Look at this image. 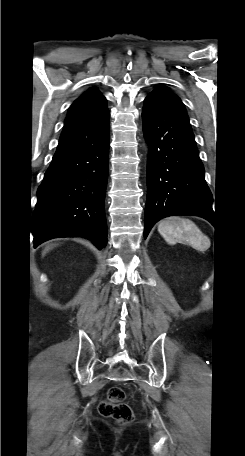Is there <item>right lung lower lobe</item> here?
I'll list each match as a JSON object with an SVG mask.
<instances>
[{"label":"right lung lower lobe","mask_w":245,"mask_h":456,"mask_svg":"<svg viewBox=\"0 0 245 456\" xmlns=\"http://www.w3.org/2000/svg\"><path fill=\"white\" fill-rule=\"evenodd\" d=\"M110 124L81 149L54 155L38 188L32 219L34 247L57 237H85L107 243L104 209Z\"/></svg>","instance_id":"obj_1"}]
</instances>
